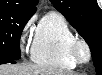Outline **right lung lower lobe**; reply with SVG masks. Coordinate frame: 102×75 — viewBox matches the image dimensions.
Instances as JSON below:
<instances>
[{"mask_svg": "<svg viewBox=\"0 0 102 75\" xmlns=\"http://www.w3.org/2000/svg\"><path fill=\"white\" fill-rule=\"evenodd\" d=\"M5 63L15 64L16 61L15 60H12V59H2V60H0V64H5Z\"/></svg>", "mask_w": 102, "mask_h": 75, "instance_id": "right-lung-lower-lobe-1", "label": "right lung lower lobe"}]
</instances>
